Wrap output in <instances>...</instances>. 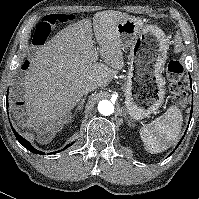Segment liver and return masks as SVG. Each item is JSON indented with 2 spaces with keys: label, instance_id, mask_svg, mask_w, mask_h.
<instances>
[{
  "label": "liver",
  "instance_id": "6515ba94",
  "mask_svg": "<svg viewBox=\"0 0 199 199\" xmlns=\"http://www.w3.org/2000/svg\"><path fill=\"white\" fill-rule=\"evenodd\" d=\"M127 17L119 11L97 12L92 22L73 23L36 50L21 83L27 119L13 110L22 127L33 128L41 136L51 131L52 139L70 119L89 83L103 88L112 81L124 67L116 28ZM99 55L103 63L94 61Z\"/></svg>",
  "mask_w": 199,
  "mask_h": 199
}]
</instances>
